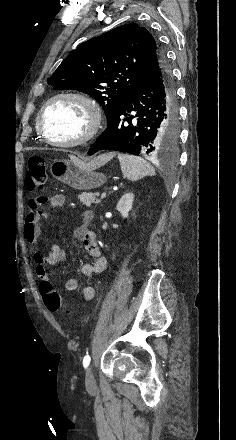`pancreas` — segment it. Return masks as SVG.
<instances>
[{"label": "pancreas", "mask_w": 236, "mask_h": 440, "mask_svg": "<svg viewBox=\"0 0 236 440\" xmlns=\"http://www.w3.org/2000/svg\"><path fill=\"white\" fill-rule=\"evenodd\" d=\"M99 196V193H83L78 196L79 200L86 205L87 207H90L92 204H97L100 202L99 199L96 197Z\"/></svg>", "instance_id": "pancreas-1"}]
</instances>
